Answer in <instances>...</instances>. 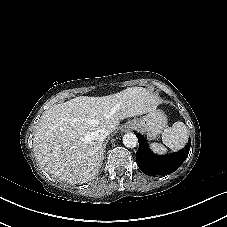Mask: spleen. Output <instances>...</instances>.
I'll use <instances>...</instances> for the list:
<instances>
[{"mask_svg":"<svg viewBox=\"0 0 227 227\" xmlns=\"http://www.w3.org/2000/svg\"><path fill=\"white\" fill-rule=\"evenodd\" d=\"M188 129L183 122H175L162 133L163 144L173 151L180 150L188 140ZM159 143H151L150 148L157 154H165L167 148Z\"/></svg>","mask_w":227,"mask_h":227,"instance_id":"1","label":"spleen"}]
</instances>
